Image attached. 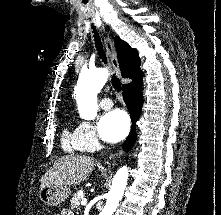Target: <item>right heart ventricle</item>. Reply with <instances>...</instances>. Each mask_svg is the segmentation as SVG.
I'll use <instances>...</instances> for the list:
<instances>
[{
    "label": "right heart ventricle",
    "instance_id": "e07e8e85",
    "mask_svg": "<svg viewBox=\"0 0 221 215\" xmlns=\"http://www.w3.org/2000/svg\"><path fill=\"white\" fill-rule=\"evenodd\" d=\"M62 146L68 152L82 151L77 139L76 130L65 129L62 134Z\"/></svg>",
    "mask_w": 221,
    "mask_h": 215
}]
</instances>
